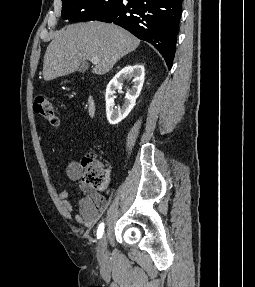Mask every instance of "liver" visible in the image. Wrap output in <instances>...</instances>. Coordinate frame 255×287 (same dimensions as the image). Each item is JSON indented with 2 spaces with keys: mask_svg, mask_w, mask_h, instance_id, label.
Segmentation results:
<instances>
[{
  "mask_svg": "<svg viewBox=\"0 0 255 287\" xmlns=\"http://www.w3.org/2000/svg\"><path fill=\"white\" fill-rule=\"evenodd\" d=\"M140 44L135 36L104 22L71 24L57 32L50 42L43 62V78L46 82L60 76L73 74L85 60L98 58L93 74H107L114 64Z\"/></svg>",
  "mask_w": 255,
  "mask_h": 287,
  "instance_id": "6515ba94",
  "label": "liver"
}]
</instances>
